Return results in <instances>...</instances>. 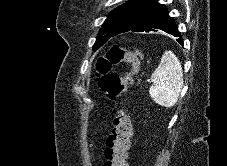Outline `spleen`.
<instances>
[{"instance_id":"spleen-1","label":"spleen","mask_w":227,"mask_h":166,"mask_svg":"<svg viewBox=\"0 0 227 166\" xmlns=\"http://www.w3.org/2000/svg\"><path fill=\"white\" fill-rule=\"evenodd\" d=\"M149 94L152 100L170 108L178 100L183 87V70L180 61L172 51H165L158 67L151 75Z\"/></svg>"}]
</instances>
